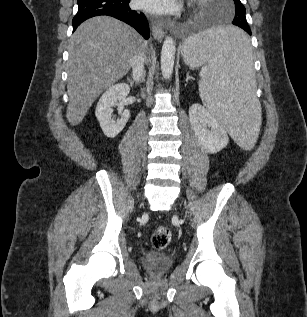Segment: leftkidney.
<instances>
[{"label": "left kidney", "mask_w": 307, "mask_h": 317, "mask_svg": "<svg viewBox=\"0 0 307 317\" xmlns=\"http://www.w3.org/2000/svg\"><path fill=\"white\" fill-rule=\"evenodd\" d=\"M189 118L199 144L208 153H217L227 146L226 130L202 105H191Z\"/></svg>", "instance_id": "5707ae66"}]
</instances>
